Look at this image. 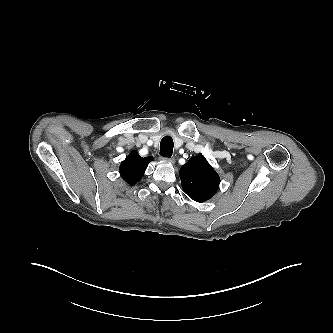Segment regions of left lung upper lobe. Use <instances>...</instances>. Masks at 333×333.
<instances>
[{"label": "left lung upper lobe", "instance_id": "5c2ea615", "mask_svg": "<svg viewBox=\"0 0 333 333\" xmlns=\"http://www.w3.org/2000/svg\"><path fill=\"white\" fill-rule=\"evenodd\" d=\"M179 175L184 192L197 202L211 199L218 190L219 175L202 155L191 157Z\"/></svg>", "mask_w": 333, "mask_h": 333}]
</instances>
